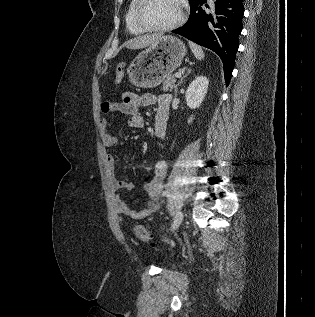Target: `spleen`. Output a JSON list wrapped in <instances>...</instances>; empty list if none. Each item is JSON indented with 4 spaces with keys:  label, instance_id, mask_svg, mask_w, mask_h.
I'll return each mask as SVG.
<instances>
[{
    "label": "spleen",
    "instance_id": "3e777b00",
    "mask_svg": "<svg viewBox=\"0 0 315 317\" xmlns=\"http://www.w3.org/2000/svg\"><path fill=\"white\" fill-rule=\"evenodd\" d=\"M188 43H189L190 49L193 52L194 56L198 60L204 59L205 54H204L202 48L199 45H197V44H195V43H193L191 41H189Z\"/></svg>",
    "mask_w": 315,
    "mask_h": 317
}]
</instances>
